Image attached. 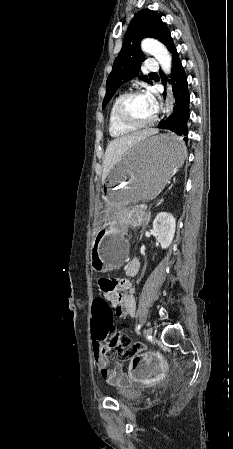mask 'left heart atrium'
<instances>
[{"instance_id":"left-heart-atrium-1","label":"left heart atrium","mask_w":233,"mask_h":449,"mask_svg":"<svg viewBox=\"0 0 233 449\" xmlns=\"http://www.w3.org/2000/svg\"><path fill=\"white\" fill-rule=\"evenodd\" d=\"M145 95L148 98V100L150 101V103L152 104L153 108L156 110L157 101H156L155 94L152 91H147L145 93Z\"/></svg>"}]
</instances>
